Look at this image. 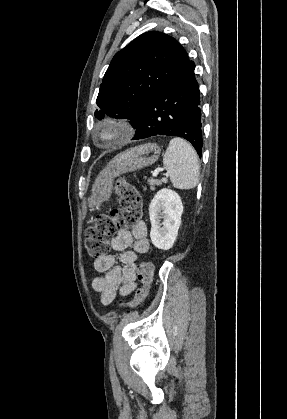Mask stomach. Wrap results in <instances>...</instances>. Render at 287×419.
Here are the masks:
<instances>
[{"label":"stomach","instance_id":"stomach-1","mask_svg":"<svg viewBox=\"0 0 287 419\" xmlns=\"http://www.w3.org/2000/svg\"><path fill=\"white\" fill-rule=\"evenodd\" d=\"M160 152L161 149L156 143H145L115 156L97 175L89 202L97 205L108 200L116 177L154 164Z\"/></svg>","mask_w":287,"mask_h":419}]
</instances>
